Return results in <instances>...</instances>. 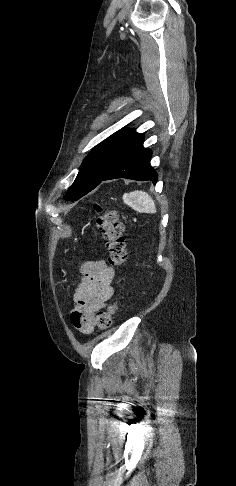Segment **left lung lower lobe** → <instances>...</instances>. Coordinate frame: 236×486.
<instances>
[{
	"label": "left lung lower lobe",
	"mask_w": 236,
	"mask_h": 486,
	"mask_svg": "<svg viewBox=\"0 0 236 486\" xmlns=\"http://www.w3.org/2000/svg\"><path fill=\"white\" fill-rule=\"evenodd\" d=\"M143 141L144 137L141 135L103 180L127 178L138 181L151 180L155 184L158 175L150 165L152 152L143 147Z\"/></svg>",
	"instance_id": "left-lung-lower-lobe-1"
}]
</instances>
